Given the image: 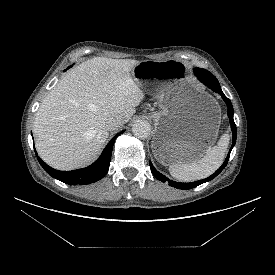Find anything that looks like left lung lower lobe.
<instances>
[{
	"instance_id": "obj_1",
	"label": "left lung lower lobe",
	"mask_w": 275,
	"mask_h": 275,
	"mask_svg": "<svg viewBox=\"0 0 275 275\" xmlns=\"http://www.w3.org/2000/svg\"><path fill=\"white\" fill-rule=\"evenodd\" d=\"M195 75L197 76V78L206 86H208L210 89H212L213 91H215L216 93H219L223 100L225 101L227 107H228V117H229V121L231 124V130L233 132V141H232V146L231 149L224 161V163L222 164V166L211 176H209L208 178L199 180V181H195V182H191V183H179V182H175L172 180H169L166 176L162 175L161 173H159L154 166L152 165V163L150 162V168L151 171L153 173V175L155 176V178H157L158 180L165 182L168 181L169 185L178 189H191L194 187H197L198 185L205 183L207 181L212 180L213 178H215L227 165L228 163V159L231 153L232 148L234 147L235 143H236V136H237V129H236V125L233 119V106L231 101L224 95V93L221 90V87L219 85L218 80L216 79V77L214 75H212V73H210L209 71L205 70V69H201V68H196L194 69Z\"/></svg>"
}]
</instances>
